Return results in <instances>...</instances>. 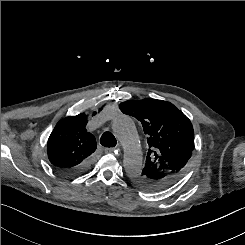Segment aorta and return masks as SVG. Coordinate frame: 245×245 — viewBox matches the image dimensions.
Here are the masks:
<instances>
[{"instance_id": "obj_1", "label": "aorta", "mask_w": 245, "mask_h": 245, "mask_svg": "<svg viewBox=\"0 0 245 245\" xmlns=\"http://www.w3.org/2000/svg\"><path fill=\"white\" fill-rule=\"evenodd\" d=\"M112 129L119 139L123 150V166L128 174L142 170V152L139 136L133 121L127 116H119L112 123Z\"/></svg>"}]
</instances>
